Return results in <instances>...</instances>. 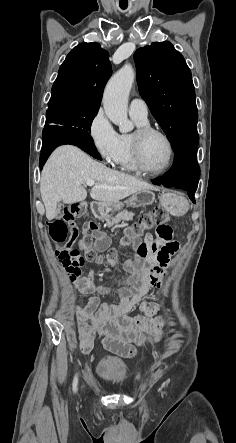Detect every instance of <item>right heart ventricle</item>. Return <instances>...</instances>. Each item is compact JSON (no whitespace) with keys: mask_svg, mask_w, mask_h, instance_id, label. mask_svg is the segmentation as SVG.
I'll return each mask as SVG.
<instances>
[{"mask_svg":"<svg viewBox=\"0 0 236 443\" xmlns=\"http://www.w3.org/2000/svg\"><path fill=\"white\" fill-rule=\"evenodd\" d=\"M133 120L135 121V123L138 126L148 124L147 120H139L136 118H133ZM131 136H132V134L120 135L122 153H121V157H120L117 164L124 171L135 172V171H137V169H136L134 162H133L132 148H131Z\"/></svg>","mask_w":236,"mask_h":443,"instance_id":"1","label":"right heart ventricle"}]
</instances>
